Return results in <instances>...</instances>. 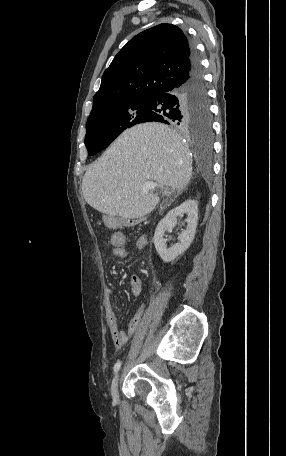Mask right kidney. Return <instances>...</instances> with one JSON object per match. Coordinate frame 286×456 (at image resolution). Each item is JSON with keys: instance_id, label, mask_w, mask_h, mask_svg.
<instances>
[{"instance_id": "ca27d5eb", "label": "right kidney", "mask_w": 286, "mask_h": 456, "mask_svg": "<svg viewBox=\"0 0 286 456\" xmlns=\"http://www.w3.org/2000/svg\"><path fill=\"white\" fill-rule=\"evenodd\" d=\"M187 215V227L178 237L179 243L167 248L164 234L177 224V218ZM198 222V202L193 199L184 201L179 206L170 210L167 215L159 222L154 234V245L164 262H171L181 255L192 243Z\"/></svg>"}]
</instances>
